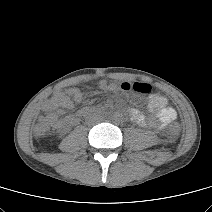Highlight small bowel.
<instances>
[{"mask_svg": "<svg viewBox=\"0 0 212 212\" xmlns=\"http://www.w3.org/2000/svg\"><path fill=\"white\" fill-rule=\"evenodd\" d=\"M80 100L81 93L75 89L57 91L43 104L44 119L57 129L76 125L79 114H67V111ZM148 109L156 116V121L152 125L157 129H164L176 120V111L168 106L167 99L161 94L153 93L149 96ZM129 115L132 121L141 126L150 124L143 113L137 109L129 110Z\"/></svg>", "mask_w": 212, "mask_h": 212, "instance_id": "1", "label": "small bowel"}]
</instances>
